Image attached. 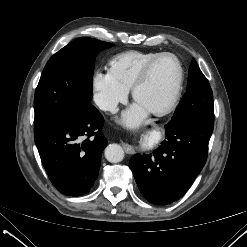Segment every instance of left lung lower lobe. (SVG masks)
Wrapping results in <instances>:
<instances>
[{
  "instance_id": "1",
  "label": "left lung lower lobe",
  "mask_w": 247,
  "mask_h": 247,
  "mask_svg": "<svg viewBox=\"0 0 247 247\" xmlns=\"http://www.w3.org/2000/svg\"><path fill=\"white\" fill-rule=\"evenodd\" d=\"M214 121L197 115L166 124V140L149 155L135 154L130 160L143 196L156 205L181 198L201 172L207 159Z\"/></svg>"
}]
</instances>
